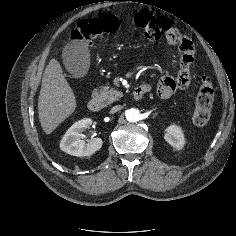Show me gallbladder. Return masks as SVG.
Masks as SVG:
<instances>
[{
	"label": "gallbladder",
	"mask_w": 236,
	"mask_h": 236,
	"mask_svg": "<svg viewBox=\"0 0 236 236\" xmlns=\"http://www.w3.org/2000/svg\"><path fill=\"white\" fill-rule=\"evenodd\" d=\"M63 63L66 70L76 78L84 77L89 69L90 54L85 43L71 41L63 49Z\"/></svg>",
	"instance_id": "obj_1"
}]
</instances>
